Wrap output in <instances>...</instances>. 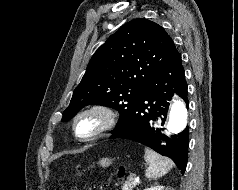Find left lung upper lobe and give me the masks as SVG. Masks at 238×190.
<instances>
[{
  "label": "left lung upper lobe",
  "instance_id": "1",
  "mask_svg": "<svg viewBox=\"0 0 238 190\" xmlns=\"http://www.w3.org/2000/svg\"><path fill=\"white\" fill-rule=\"evenodd\" d=\"M177 53L157 23L144 18L126 23L90 59L61 121L70 120L86 105H103L119 111V126L150 79Z\"/></svg>",
  "mask_w": 238,
  "mask_h": 190
}]
</instances>
